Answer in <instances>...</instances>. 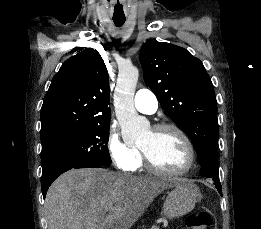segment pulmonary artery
Listing matches in <instances>:
<instances>
[{
	"label": "pulmonary artery",
	"instance_id": "e3ab8cb5",
	"mask_svg": "<svg viewBox=\"0 0 261 229\" xmlns=\"http://www.w3.org/2000/svg\"><path fill=\"white\" fill-rule=\"evenodd\" d=\"M134 104L137 111L152 115L158 109V100L156 95L149 89H140L135 94Z\"/></svg>",
	"mask_w": 261,
	"mask_h": 229
}]
</instances>
